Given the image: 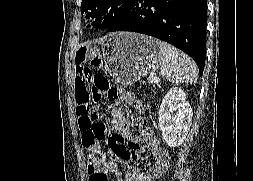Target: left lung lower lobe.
Wrapping results in <instances>:
<instances>
[{
    "label": "left lung lower lobe",
    "mask_w": 253,
    "mask_h": 181,
    "mask_svg": "<svg viewBox=\"0 0 253 181\" xmlns=\"http://www.w3.org/2000/svg\"><path fill=\"white\" fill-rule=\"evenodd\" d=\"M207 0H133L108 31H131L166 41L192 57L203 74Z\"/></svg>",
    "instance_id": "left-lung-lower-lobe-1"
}]
</instances>
